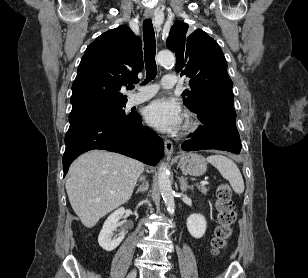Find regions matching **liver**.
<instances>
[{"label": "liver", "instance_id": "obj_1", "mask_svg": "<svg viewBox=\"0 0 308 278\" xmlns=\"http://www.w3.org/2000/svg\"><path fill=\"white\" fill-rule=\"evenodd\" d=\"M144 165L130 157L92 150L70 166L66 191L70 204L85 227L126 203L133 193Z\"/></svg>", "mask_w": 308, "mask_h": 278}]
</instances>
